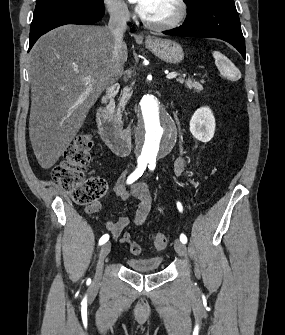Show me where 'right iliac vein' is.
Returning <instances> with one entry per match:
<instances>
[{
	"label": "right iliac vein",
	"instance_id": "obj_1",
	"mask_svg": "<svg viewBox=\"0 0 285 335\" xmlns=\"http://www.w3.org/2000/svg\"><path fill=\"white\" fill-rule=\"evenodd\" d=\"M109 253H110V243L103 244L99 252V257L97 261V271L94 278V283L96 285H98L101 281L104 259Z\"/></svg>",
	"mask_w": 285,
	"mask_h": 335
}]
</instances>
